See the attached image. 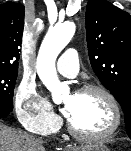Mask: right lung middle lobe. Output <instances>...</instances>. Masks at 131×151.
Instances as JSON below:
<instances>
[{
    "instance_id": "1",
    "label": "right lung middle lobe",
    "mask_w": 131,
    "mask_h": 151,
    "mask_svg": "<svg viewBox=\"0 0 131 151\" xmlns=\"http://www.w3.org/2000/svg\"><path fill=\"white\" fill-rule=\"evenodd\" d=\"M18 69L0 68V110H13L14 86Z\"/></svg>"
}]
</instances>
